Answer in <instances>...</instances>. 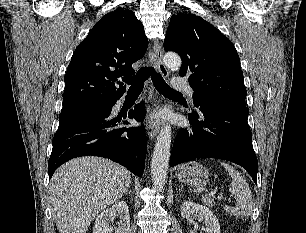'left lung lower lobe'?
<instances>
[{"instance_id":"left-lung-lower-lobe-1","label":"left lung lower lobe","mask_w":306,"mask_h":233,"mask_svg":"<svg viewBox=\"0 0 306 233\" xmlns=\"http://www.w3.org/2000/svg\"><path fill=\"white\" fill-rule=\"evenodd\" d=\"M188 118L192 127L180 129L170 157V167L195 158H218L241 165L257 184L258 162L247 123V107L231 103L199 106Z\"/></svg>"}]
</instances>
